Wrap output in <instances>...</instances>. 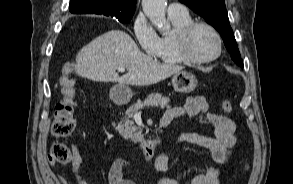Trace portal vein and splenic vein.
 Listing matches in <instances>:
<instances>
[{
    "mask_svg": "<svg viewBox=\"0 0 293 184\" xmlns=\"http://www.w3.org/2000/svg\"><path fill=\"white\" fill-rule=\"evenodd\" d=\"M117 69H118V71H120V72H124V71H125V68H124V67H118Z\"/></svg>",
    "mask_w": 293,
    "mask_h": 184,
    "instance_id": "portal-vein-and-splenic-vein-1",
    "label": "portal vein and splenic vein"
}]
</instances>
